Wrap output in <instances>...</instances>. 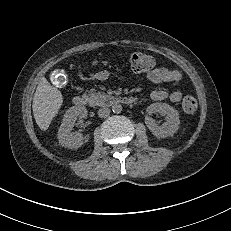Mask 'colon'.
Masks as SVG:
<instances>
[{
  "instance_id": "1",
  "label": "colon",
  "mask_w": 231,
  "mask_h": 231,
  "mask_svg": "<svg viewBox=\"0 0 231 231\" xmlns=\"http://www.w3.org/2000/svg\"><path fill=\"white\" fill-rule=\"evenodd\" d=\"M131 69L135 73H145L153 69L155 60L152 56L136 52L129 58ZM182 108L187 113H193L197 109V100L193 96H186L182 102Z\"/></svg>"
}]
</instances>
